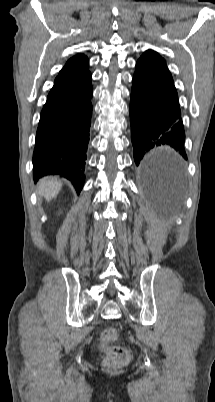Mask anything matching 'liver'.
Here are the masks:
<instances>
[{"label": "liver", "mask_w": 215, "mask_h": 402, "mask_svg": "<svg viewBox=\"0 0 215 402\" xmlns=\"http://www.w3.org/2000/svg\"><path fill=\"white\" fill-rule=\"evenodd\" d=\"M62 184L55 178L47 177L40 180L38 184V193L43 195L47 201L55 198L60 192Z\"/></svg>", "instance_id": "6515ba94"}]
</instances>
